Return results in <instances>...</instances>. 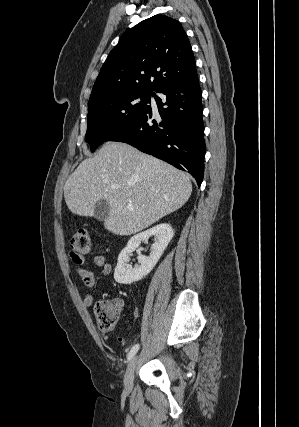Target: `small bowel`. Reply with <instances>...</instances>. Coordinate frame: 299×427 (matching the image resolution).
<instances>
[{
	"label": "small bowel",
	"mask_w": 299,
	"mask_h": 427,
	"mask_svg": "<svg viewBox=\"0 0 299 427\" xmlns=\"http://www.w3.org/2000/svg\"><path fill=\"white\" fill-rule=\"evenodd\" d=\"M76 273L81 278L84 285L88 288H92L96 284V278L94 273L88 269L82 261H76ZM93 265L99 267L101 270V274L103 276L110 275L112 271V267L107 263L106 257L104 255H98L94 258ZM94 303V296L92 294H87L83 298V304L86 307L92 306ZM114 304L117 306L119 310H121L124 306V302L122 299H115Z\"/></svg>",
	"instance_id": "1"
}]
</instances>
